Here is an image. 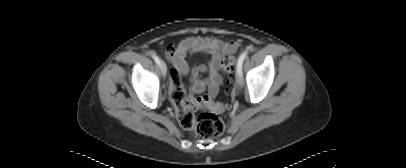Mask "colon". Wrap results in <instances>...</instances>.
Returning a JSON list of instances; mask_svg holds the SVG:
<instances>
[{"label":"colon","mask_w":406,"mask_h":168,"mask_svg":"<svg viewBox=\"0 0 406 168\" xmlns=\"http://www.w3.org/2000/svg\"><path fill=\"white\" fill-rule=\"evenodd\" d=\"M235 58L226 55L221 60V71L229 77L233 72ZM171 99L175 106V115L179 125L187 130H193L202 139H212L225 131L224 121L217 115L224 110L221 103H215L204 97L189 96L182 85H176L171 90ZM199 109H205L195 116Z\"/></svg>","instance_id":"5ec220e1"}]
</instances>
